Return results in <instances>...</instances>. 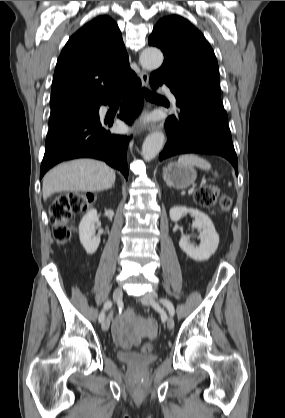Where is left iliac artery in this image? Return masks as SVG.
I'll return each mask as SVG.
<instances>
[{"mask_svg":"<svg viewBox=\"0 0 285 418\" xmlns=\"http://www.w3.org/2000/svg\"><path fill=\"white\" fill-rule=\"evenodd\" d=\"M160 302L167 308L169 314L171 316H173L174 313H175V308H174L173 304L171 303V301H169L168 299H165V298H161Z\"/></svg>","mask_w":285,"mask_h":418,"instance_id":"obj_1","label":"left iliac artery"}]
</instances>
